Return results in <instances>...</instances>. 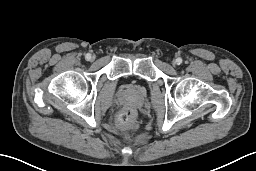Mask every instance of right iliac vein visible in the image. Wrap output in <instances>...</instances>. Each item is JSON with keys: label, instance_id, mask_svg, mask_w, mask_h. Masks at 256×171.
I'll return each instance as SVG.
<instances>
[{"label": "right iliac vein", "instance_id": "1", "mask_svg": "<svg viewBox=\"0 0 256 171\" xmlns=\"http://www.w3.org/2000/svg\"><path fill=\"white\" fill-rule=\"evenodd\" d=\"M90 59L93 61V60L95 59V57H94V56H92Z\"/></svg>", "mask_w": 256, "mask_h": 171}]
</instances>
